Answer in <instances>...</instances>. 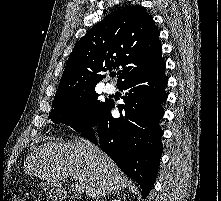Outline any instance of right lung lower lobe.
<instances>
[{
	"instance_id": "98d812e1",
	"label": "right lung lower lobe",
	"mask_w": 221,
	"mask_h": 201,
	"mask_svg": "<svg viewBox=\"0 0 221 201\" xmlns=\"http://www.w3.org/2000/svg\"><path fill=\"white\" fill-rule=\"evenodd\" d=\"M163 60L153 69L123 81L118 85L126 90L119 105V118H113L110 101L107 109L92 126L80 131L107 153L117 166L131 179L138 182L142 198L149 194L156 180L163 150V131L159 122L164 115L162 103L167 99ZM96 133V135H95Z\"/></svg>"
}]
</instances>
